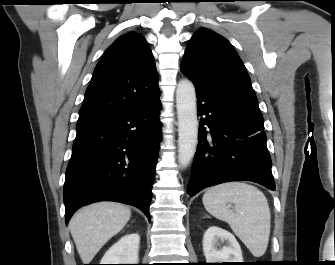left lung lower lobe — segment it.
<instances>
[{
	"label": "left lung lower lobe",
	"mask_w": 335,
	"mask_h": 265,
	"mask_svg": "<svg viewBox=\"0 0 335 265\" xmlns=\"http://www.w3.org/2000/svg\"><path fill=\"white\" fill-rule=\"evenodd\" d=\"M196 96L201 118L188 194L239 180L274 190L262 116L199 89Z\"/></svg>",
	"instance_id": "left-lung-lower-lobe-1"
}]
</instances>
